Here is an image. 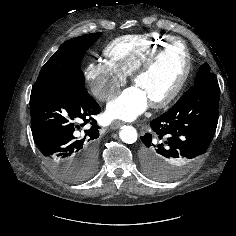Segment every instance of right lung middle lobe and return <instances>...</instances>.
<instances>
[{"label":"right lung middle lobe","mask_w":236,"mask_h":236,"mask_svg":"<svg viewBox=\"0 0 236 236\" xmlns=\"http://www.w3.org/2000/svg\"><path fill=\"white\" fill-rule=\"evenodd\" d=\"M92 33L66 41L42 67L36 85L76 84L85 89L84 75L80 70L85 51L100 37ZM97 160L89 159L84 163L52 167L63 179L79 181L87 179L96 168ZM60 172H64L61 174Z\"/></svg>","instance_id":"dd1d6c3e"}]
</instances>
